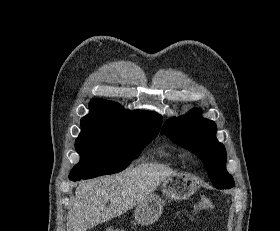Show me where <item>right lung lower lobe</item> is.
Segmentation results:
<instances>
[{
	"mask_svg": "<svg viewBox=\"0 0 280 231\" xmlns=\"http://www.w3.org/2000/svg\"><path fill=\"white\" fill-rule=\"evenodd\" d=\"M69 179L72 180V181H78V180H81L83 178L82 177H76V176H69Z\"/></svg>",
	"mask_w": 280,
	"mask_h": 231,
	"instance_id": "98d812e1",
	"label": "right lung lower lobe"
}]
</instances>
